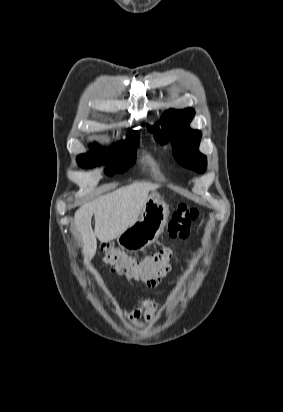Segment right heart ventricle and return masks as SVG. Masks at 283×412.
<instances>
[{
    "instance_id": "obj_1",
    "label": "right heart ventricle",
    "mask_w": 283,
    "mask_h": 412,
    "mask_svg": "<svg viewBox=\"0 0 283 412\" xmlns=\"http://www.w3.org/2000/svg\"><path fill=\"white\" fill-rule=\"evenodd\" d=\"M145 163L151 168L152 172L155 174L157 177H161L162 173L159 168L158 162L151 156V155H146L144 157Z\"/></svg>"
}]
</instances>
